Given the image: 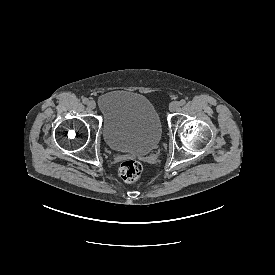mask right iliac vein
Listing matches in <instances>:
<instances>
[{
	"mask_svg": "<svg viewBox=\"0 0 275 275\" xmlns=\"http://www.w3.org/2000/svg\"><path fill=\"white\" fill-rule=\"evenodd\" d=\"M88 107L90 109H95L96 108V102L94 100L89 101Z\"/></svg>",
	"mask_w": 275,
	"mask_h": 275,
	"instance_id": "right-iliac-vein-1",
	"label": "right iliac vein"
}]
</instances>
